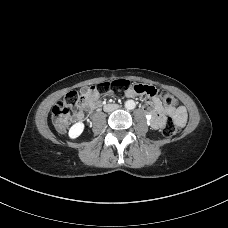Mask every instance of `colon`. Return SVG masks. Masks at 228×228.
Listing matches in <instances>:
<instances>
[{
    "label": "colon",
    "mask_w": 228,
    "mask_h": 228,
    "mask_svg": "<svg viewBox=\"0 0 228 228\" xmlns=\"http://www.w3.org/2000/svg\"><path fill=\"white\" fill-rule=\"evenodd\" d=\"M97 91H104L108 88H119V89H132L136 94L153 97L157 94V91L154 87L143 85V84H131L127 79H114L108 82H103L97 86H93ZM85 96V92L82 91H71L69 92L63 100L62 104H56L52 109V121L59 132H64L70 123L71 108L79 104L80 100ZM160 101L165 109H174L178 100L167 91H161L159 93ZM181 131L180 125L172 118H169L164 127L163 134L166 137L173 138L177 136Z\"/></svg>",
    "instance_id": "colon-1"
}]
</instances>
